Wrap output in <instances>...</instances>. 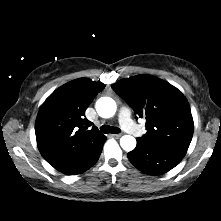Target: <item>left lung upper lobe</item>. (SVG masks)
Wrapping results in <instances>:
<instances>
[{"label": "left lung upper lobe", "instance_id": "1", "mask_svg": "<svg viewBox=\"0 0 221 221\" xmlns=\"http://www.w3.org/2000/svg\"><path fill=\"white\" fill-rule=\"evenodd\" d=\"M111 87L146 119L147 133L137 142L187 152L194 123L189 104L177 88L146 74L122 79Z\"/></svg>", "mask_w": 221, "mask_h": 221}]
</instances>
